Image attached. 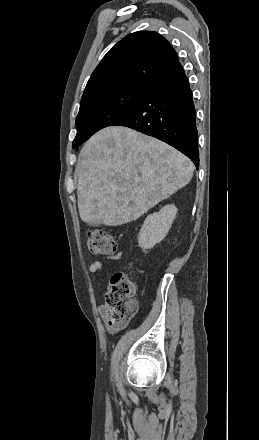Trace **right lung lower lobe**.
I'll use <instances>...</instances> for the list:
<instances>
[{
	"mask_svg": "<svg viewBox=\"0 0 259 440\" xmlns=\"http://www.w3.org/2000/svg\"><path fill=\"white\" fill-rule=\"evenodd\" d=\"M110 126H126L162 140L199 167L196 112L189 81L180 63L150 86L139 102Z\"/></svg>",
	"mask_w": 259,
	"mask_h": 440,
	"instance_id": "1",
	"label": "right lung lower lobe"
}]
</instances>
